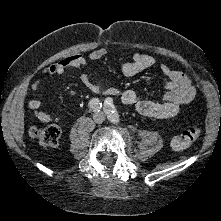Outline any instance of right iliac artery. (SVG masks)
<instances>
[{"label":"right iliac artery","instance_id":"1","mask_svg":"<svg viewBox=\"0 0 221 221\" xmlns=\"http://www.w3.org/2000/svg\"><path fill=\"white\" fill-rule=\"evenodd\" d=\"M88 106L92 111L99 112L102 108V103L99 101L98 98H93L89 101Z\"/></svg>","mask_w":221,"mask_h":221}]
</instances>
